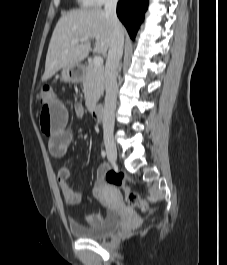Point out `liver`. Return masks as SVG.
<instances>
[{
    "instance_id": "obj_1",
    "label": "liver",
    "mask_w": 227,
    "mask_h": 265,
    "mask_svg": "<svg viewBox=\"0 0 227 265\" xmlns=\"http://www.w3.org/2000/svg\"><path fill=\"white\" fill-rule=\"evenodd\" d=\"M124 35V30L122 28ZM112 26L109 17L100 9H82L61 16L53 31L45 62L42 80L51 78L57 71L79 65L91 49L89 41L74 43L81 38H95V53L105 55L110 48Z\"/></svg>"
}]
</instances>
